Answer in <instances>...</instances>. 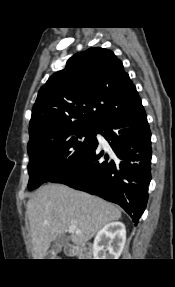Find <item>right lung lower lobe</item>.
<instances>
[{"label": "right lung lower lobe", "mask_w": 175, "mask_h": 287, "mask_svg": "<svg viewBox=\"0 0 175 287\" xmlns=\"http://www.w3.org/2000/svg\"><path fill=\"white\" fill-rule=\"evenodd\" d=\"M112 152L97 148L50 182L98 195L120 205L135 224L145 210L151 180V132L141 101L99 126Z\"/></svg>", "instance_id": "98d812e1"}]
</instances>
